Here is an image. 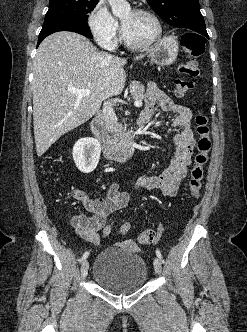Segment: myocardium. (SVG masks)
<instances>
[{"label":"myocardium","instance_id":"obj_1","mask_svg":"<svg viewBox=\"0 0 247 332\" xmlns=\"http://www.w3.org/2000/svg\"><path fill=\"white\" fill-rule=\"evenodd\" d=\"M132 11L136 14H142V15L150 16L156 24V28H157L156 33L150 40H148L144 43H134L128 38V36L125 32L124 25L122 23V26H121V40L130 49H133V50L148 49L153 44H155L158 40H160V38L162 37V35H163L162 22H161L160 18L158 17V15L155 12L151 11V10L137 8V9H134Z\"/></svg>","mask_w":247,"mask_h":332}]
</instances>
